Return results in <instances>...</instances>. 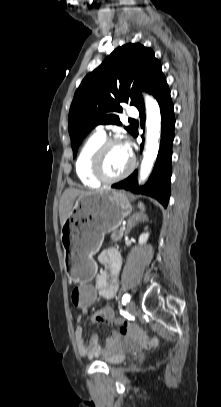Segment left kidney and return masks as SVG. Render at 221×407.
Here are the masks:
<instances>
[{"label": "left kidney", "mask_w": 221, "mask_h": 407, "mask_svg": "<svg viewBox=\"0 0 221 407\" xmlns=\"http://www.w3.org/2000/svg\"><path fill=\"white\" fill-rule=\"evenodd\" d=\"M146 229H147V228H146ZM148 237H149V233H148V232L142 233V234L140 235V237H139V244H140V245L145 244V243L147 242V240H148Z\"/></svg>", "instance_id": "5707ae66"}]
</instances>
